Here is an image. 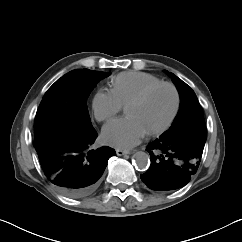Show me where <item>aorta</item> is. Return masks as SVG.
<instances>
[{
	"instance_id": "aorta-1",
	"label": "aorta",
	"mask_w": 242,
	"mask_h": 242,
	"mask_svg": "<svg viewBox=\"0 0 242 242\" xmlns=\"http://www.w3.org/2000/svg\"><path fill=\"white\" fill-rule=\"evenodd\" d=\"M133 162L139 169H145L150 164L149 155L143 151H138L133 155Z\"/></svg>"
}]
</instances>
